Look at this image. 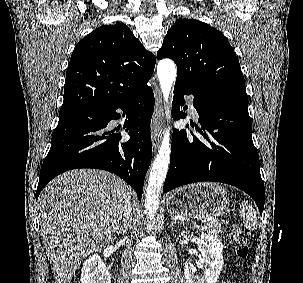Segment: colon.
<instances>
[{
    "mask_svg": "<svg viewBox=\"0 0 303 283\" xmlns=\"http://www.w3.org/2000/svg\"><path fill=\"white\" fill-rule=\"evenodd\" d=\"M232 247L238 258L244 259L249 253V240L240 226H236L230 236Z\"/></svg>",
    "mask_w": 303,
    "mask_h": 283,
    "instance_id": "5ec220e1",
    "label": "colon"
}]
</instances>
